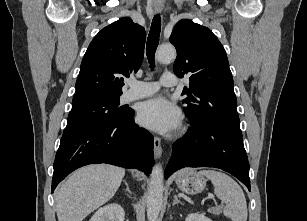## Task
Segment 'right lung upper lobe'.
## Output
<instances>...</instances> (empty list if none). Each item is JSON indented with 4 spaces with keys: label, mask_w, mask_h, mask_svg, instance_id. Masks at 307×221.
Wrapping results in <instances>:
<instances>
[{
    "label": "right lung upper lobe",
    "mask_w": 307,
    "mask_h": 221,
    "mask_svg": "<svg viewBox=\"0 0 307 221\" xmlns=\"http://www.w3.org/2000/svg\"><path fill=\"white\" fill-rule=\"evenodd\" d=\"M145 29L130 18L103 28L91 41L81 63L72 103L119 97L123 78L139 69Z\"/></svg>",
    "instance_id": "right-lung-upper-lobe-1"
}]
</instances>
